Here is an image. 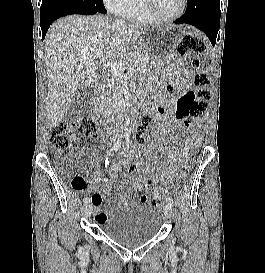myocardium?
<instances>
[{
    "mask_svg": "<svg viewBox=\"0 0 265 273\" xmlns=\"http://www.w3.org/2000/svg\"><path fill=\"white\" fill-rule=\"evenodd\" d=\"M141 1H142V6L144 11L146 12V14L148 15V17L153 23H170V22L176 21L184 15L187 8V0H182L181 9L176 15L172 17H161L155 14L154 11L152 10L151 0H141Z\"/></svg>",
    "mask_w": 265,
    "mask_h": 273,
    "instance_id": "1",
    "label": "myocardium"
}]
</instances>
